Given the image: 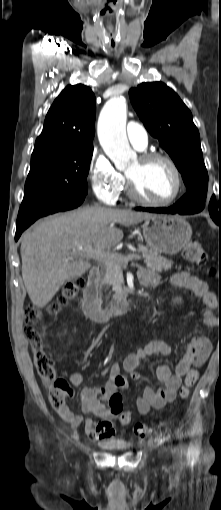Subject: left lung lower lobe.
Segmentation results:
<instances>
[{
    "mask_svg": "<svg viewBox=\"0 0 221 510\" xmlns=\"http://www.w3.org/2000/svg\"><path fill=\"white\" fill-rule=\"evenodd\" d=\"M137 210H145L148 212H155V213H170V214H195L200 212L202 209L192 207L187 204H174L173 206L169 208H136ZM210 216L212 217L213 221L221 227V211H210Z\"/></svg>",
    "mask_w": 221,
    "mask_h": 510,
    "instance_id": "left-lung-lower-lobe-1",
    "label": "left lung lower lobe"
}]
</instances>
